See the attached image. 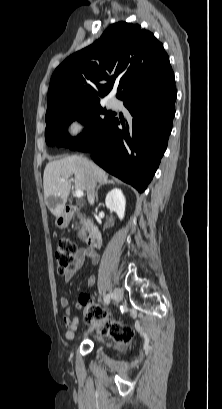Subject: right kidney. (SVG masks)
I'll use <instances>...</instances> for the list:
<instances>
[{
	"instance_id": "obj_1",
	"label": "right kidney",
	"mask_w": 222,
	"mask_h": 409,
	"mask_svg": "<svg viewBox=\"0 0 222 409\" xmlns=\"http://www.w3.org/2000/svg\"><path fill=\"white\" fill-rule=\"evenodd\" d=\"M105 205L111 211H115L120 220L124 218L126 201L119 188H114L107 194Z\"/></svg>"
}]
</instances>
